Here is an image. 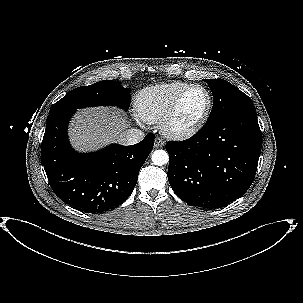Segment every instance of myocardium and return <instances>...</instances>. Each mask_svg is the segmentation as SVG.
<instances>
[{"mask_svg": "<svg viewBox=\"0 0 303 303\" xmlns=\"http://www.w3.org/2000/svg\"><path fill=\"white\" fill-rule=\"evenodd\" d=\"M194 88H200L205 92L207 97L206 108L202 113V115L190 126L183 128L177 127L174 122L177 113L180 109V106L186 95ZM212 105H213V101H212L211 93L205 86L201 84H190L176 97V99L171 104L169 109L165 112V114L160 119L159 124H160L161 132L165 136L176 140L188 139L194 136L202 129V127L207 122L211 114Z\"/></svg>", "mask_w": 303, "mask_h": 303, "instance_id": "myocardium-1", "label": "myocardium"}]
</instances>
